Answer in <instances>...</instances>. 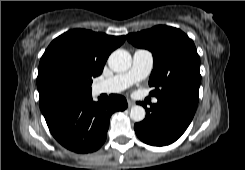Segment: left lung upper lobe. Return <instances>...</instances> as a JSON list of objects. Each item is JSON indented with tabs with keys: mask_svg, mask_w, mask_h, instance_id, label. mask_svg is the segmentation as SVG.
Returning <instances> with one entry per match:
<instances>
[{
	"mask_svg": "<svg viewBox=\"0 0 245 170\" xmlns=\"http://www.w3.org/2000/svg\"><path fill=\"white\" fill-rule=\"evenodd\" d=\"M134 46L152 52L154 67L149 79L150 93L158 98L174 97L198 103L200 57L194 42L181 30L169 26L128 34Z\"/></svg>",
	"mask_w": 245,
	"mask_h": 170,
	"instance_id": "1",
	"label": "left lung upper lobe"
}]
</instances>
